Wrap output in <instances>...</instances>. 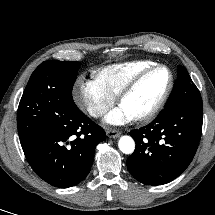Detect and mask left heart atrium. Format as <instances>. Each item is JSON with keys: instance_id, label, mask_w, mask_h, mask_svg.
Instances as JSON below:
<instances>
[{"instance_id": "1", "label": "left heart atrium", "mask_w": 215, "mask_h": 215, "mask_svg": "<svg viewBox=\"0 0 215 215\" xmlns=\"http://www.w3.org/2000/svg\"><path fill=\"white\" fill-rule=\"evenodd\" d=\"M130 119H132L130 113L120 105L105 117V122L109 125H122L127 123Z\"/></svg>"}]
</instances>
